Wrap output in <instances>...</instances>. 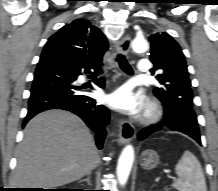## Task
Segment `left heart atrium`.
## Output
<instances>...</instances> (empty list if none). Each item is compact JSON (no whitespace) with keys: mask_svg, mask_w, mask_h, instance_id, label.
Wrapping results in <instances>:
<instances>
[{"mask_svg":"<svg viewBox=\"0 0 218 191\" xmlns=\"http://www.w3.org/2000/svg\"><path fill=\"white\" fill-rule=\"evenodd\" d=\"M108 103L123 112L138 114L145 107L146 99L142 92H136L129 85H123L109 95Z\"/></svg>","mask_w":218,"mask_h":191,"instance_id":"obj_1","label":"left heart atrium"}]
</instances>
